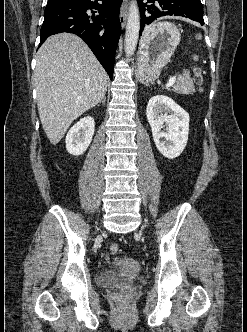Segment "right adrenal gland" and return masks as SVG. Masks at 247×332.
<instances>
[{
	"label": "right adrenal gland",
	"mask_w": 247,
	"mask_h": 332,
	"mask_svg": "<svg viewBox=\"0 0 247 332\" xmlns=\"http://www.w3.org/2000/svg\"><path fill=\"white\" fill-rule=\"evenodd\" d=\"M105 101H106V97L104 96L102 101H100V103H102L103 105H105Z\"/></svg>",
	"instance_id": "right-adrenal-gland-1"
}]
</instances>
